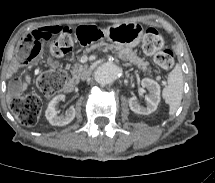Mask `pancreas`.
<instances>
[{
  "mask_svg": "<svg viewBox=\"0 0 215 183\" xmlns=\"http://www.w3.org/2000/svg\"><path fill=\"white\" fill-rule=\"evenodd\" d=\"M103 46H105L106 48H109V49L117 50L118 56L120 59H122L124 61H129L131 64H134L138 68L142 69L143 71H146L148 73V75L151 74L149 62L144 61V59H142V58H139L131 48L121 47V46H117L114 44H108L104 41H101V42H98V43L91 45L89 48L86 49V52H89V51H92L95 49H99ZM86 69H87L86 65L75 63L72 66V69L70 72H71L74 79H78L81 76L82 72Z\"/></svg>",
  "mask_w": 215,
  "mask_h": 183,
  "instance_id": "cf45deb5",
  "label": "pancreas"
}]
</instances>
